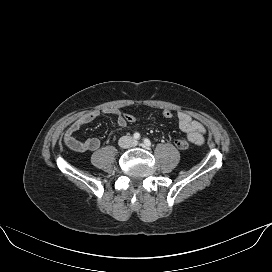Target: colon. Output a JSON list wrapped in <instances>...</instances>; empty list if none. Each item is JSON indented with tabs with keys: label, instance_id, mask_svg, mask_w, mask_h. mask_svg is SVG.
I'll return each instance as SVG.
<instances>
[{
	"label": "colon",
	"instance_id": "5ec220e1",
	"mask_svg": "<svg viewBox=\"0 0 272 272\" xmlns=\"http://www.w3.org/2000/svg\"><path fill=\"white\" fill-rule=\"evenodd\" d=\"M161 114L165 119H171L174 116V113L170 109H164ZM124 119L127 123H134L137 117L133 114H124ZM175 145L180 150H186L189 147V143L184 139H177Z\"/></svg>",
	"mask_w": 272,
	"mask_h": 272
}]
</instances>
